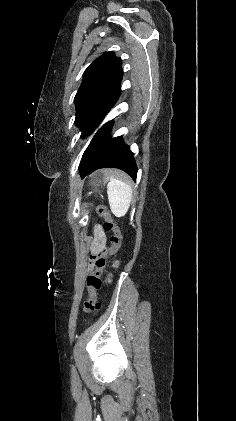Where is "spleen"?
I'll return each mask as SVG.
<instances>
[{
  "label": "spleen",
  "mask_w": 236,
  "mask_h": 421,
  "mask_svg": "<svg viewBox=\"0 0 236 421\" xmlns=\"http://www.w3.org/2000/svg\"><path fill=\"white\" fill-rule=\"evenodd\" d=\"M107 194L111 211L115 217H124L131 204L132 188L127 182L110 176Z\"/></svg>",
  "instance_id": "1"
}]
</instances>
